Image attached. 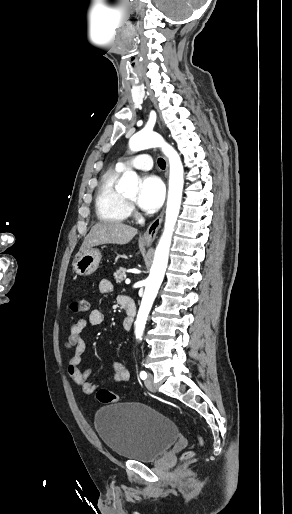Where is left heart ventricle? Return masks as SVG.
Listing matches in <instances>:
<instances>
[{"label": "left heart ventricle", "mask_w": 292, "mask_h": 514, "mask_svg": "<svg viewBox=\"0 0 292 514\" xmlns=\"http://www.w3.org/2000/svg\"><path fill=\"white\" fill-rule=\"evenodd\" d=\"M126 198H128L129 200H134L135 198V193H124L123 194Z\"/></svg>", "instance_id": "b2bd125f"}]
</instances>
